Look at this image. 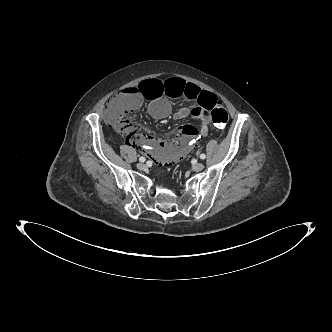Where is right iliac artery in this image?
<instances>
[{"label":"right iliac artery","instance_id":"right-iliac-artery-1","mask_svg":"<svg viewBox=\"0 0 332 332\" xmlns=\"http://www.w3.org/2000/svg\"><path fill=\"white\" fill-rule=\"evenodd\" d=\"M139 161L143 163V162L146 161V158L142 156V157L139 158Z\"/></svg>","mask_w":332,"mask_h":332}]
</instances>
